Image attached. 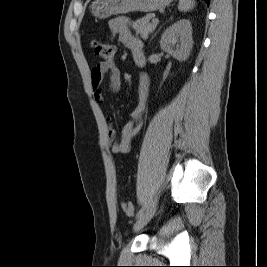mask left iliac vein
Returning a JSON list of instances; mask_svg holds the SVG:
<instances>
[{
    "mask_svg": "<svg viewBox=\"0 0 267 267\" xmlns=\"http://www.w3.org/2000/svg\"><path fill=\"white\" fill-rule=\"evenodd\" d=\"M157 209V202L154 201L145 212L136 220L134 223L133 229L134 231L141 230L154 216Z\"/></svg>",
    "mask_w": 267,
    "mask_h": 267,
    "instance_id": "obj_1",
    "label": "left iliac vein"
}]
</instances>
